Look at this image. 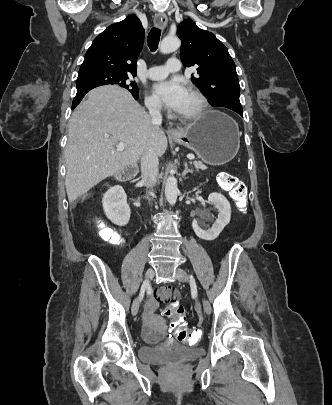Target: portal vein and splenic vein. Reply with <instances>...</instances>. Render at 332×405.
<instances>
[{
	"mask_svg": "<svg viewBox=\"0 0 332 405\" xmlns=\"http://www.w3.org/2000/svg\"><path fill=\"white\" fill-rule=\"evenodd\" d=\"M124 148H125V144H124L123 142L119 143V144L117 145V152L123 151ZM187 158H188L189 160H193L195 157H194L193 155H187Z\"/></svg>",
	"mask_w": 332,
	"mask_h": 405,
	"instance_id": "1",
	"label": "portal vein and splenic vein"
}]
</instances>
